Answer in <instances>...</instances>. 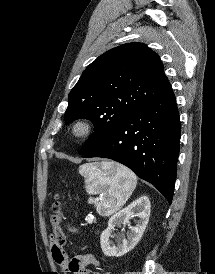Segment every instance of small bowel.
<instances>
[{
    "mask_svg": "<svg viewBox=\"0 0 215 274\" xmlns=\"http://www.w3.org/2000/svg\"><path fill=\"white\" fill-rule=\"evenodd\" d=\"M52 257L62 272L72 274H90L89 266L98 268L100 263L92 254H75L69 258L63 245L51 241ZM92 274H108L102 271H96Z\"/></svg>",
    "mask_w": 215,
    "mask_h": 274,
    "instance_id": "1",
    "label": "small bowel"
}]
</instances>
